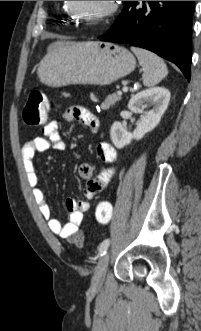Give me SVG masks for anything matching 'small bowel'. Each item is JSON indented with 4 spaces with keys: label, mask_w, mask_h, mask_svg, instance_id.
<instances>
[{
    "label": "small bowel",
    "mask_w": 201,
    "mask_h": 331,
    "mask_svg": "<svg viewBox=\"0 0 201 331\" xmlns=\"http://www.w3.org/2000/svg\"><path fill=\"white\" fill-rule=\"evenodd\" d=\"M62 118L65 122L78 121L92 133H96L100 128L98 118L82 106L67 107L63 112ZM59 124L57 119L48 120L43 129V136L28 140L21 148V155L25 175L31 187L33 198L38 205L42 217L47 221L49 229L52 233L67 240L69 243L75 244L78 240L84 239L80 226L84 214L89 209V202L87 200L101 193L104 186L114 176L117 152L111 144L101 142L96 147V153L103 164L97 173L95 174L90 164L83 163L79 166V176L86 182L83 190L86 200H79L74 197L67 198L65 206L69 212V219L66 224H62L59 220L52 217L45 193L39 187V178L34 164V158L38 153L48 150L65 149V142L59 133Z\"/></svg>",
    "instance_id": "c3829d8e"
}]
</instances>
